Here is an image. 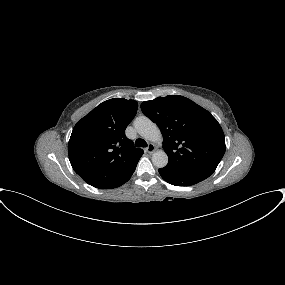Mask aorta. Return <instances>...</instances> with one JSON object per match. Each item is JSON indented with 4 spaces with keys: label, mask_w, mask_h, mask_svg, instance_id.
Masks as SVG:
<instances>
[{
    "label": "aorta",
    "mask_w": 285,
    "mask_h": 285,
    "mask_svg": "<svg viewBox=\"0 0 285 285\" xmlns=\"http://www.w3.org/2000/svg\"><path fill=\"white\" fill-rule=\"evenodd\" d=\"M134 127L137 132L146 140L151 142H161L162 134L158 126L145 116L137 117L134 121ZM152 163L158 167L163 168L168 164V156L162 149L156 150L152 154Z\"/></svg>",
    "instance_id": "aorta-1"
}]
</instances>
